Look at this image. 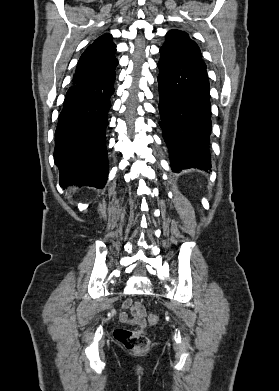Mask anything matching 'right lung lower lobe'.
I'll use <instances>...</instances> for the list:
<instances>
[{
  "label": "right lung lower lobe",
  "instance_id": "obj_1",
  "mask_svg": "<svg viewBox=\"0 0 279 391\" xmlns=\"http://www.w3.org/2000/svg\"><path fill=\"white\" fill-rule=\"evenodd\" d=\"M116 73L73 85L67 91L55 132L54 161L60 186L102 188L108 176L105 130Z\"/></svg>",
  "mask_w": 279,
  "mask_h": 391
}]
</instances>
